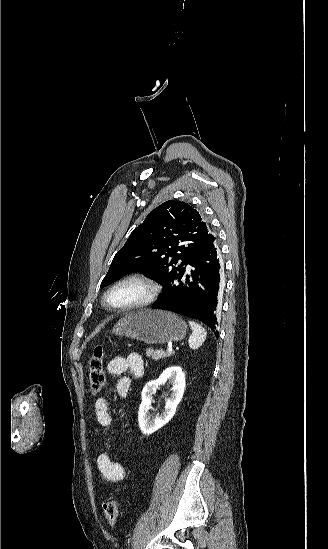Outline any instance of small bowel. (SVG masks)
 Listing matches in <instances>:
<instances>
[{
  "instance_id": "obj_1",
  "label": "small bowel",
  "mask_w": 328,
  "mask_h": 549,
  "mask_svg": "<svg viewBox=\"0 0 328 549\" xmlns=\"http://www.w3.org/2000/svg\"><path fill=\"white\" fill-rule=\"evenodd\" d=\"M107 371L111 375L121 376L115 384V389L119 396L126 397L130 391L131 379L122 375L128 371L133 377H141L144 372V361L138 353H130L126 357L116 356L108 363ZM94 409L100 433H107L112 425L109 399L107 397L98 398L95 401ZM96 467L101 479L107 482H121L126 477L124 466L111 459L107 446H104L99 453L96 459Z\"/></svg>"
}]
</instances>
